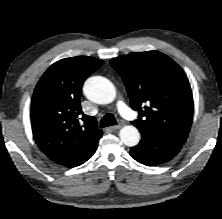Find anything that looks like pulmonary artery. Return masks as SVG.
<instances>
[{
    "instance_id": "pulmonary-artery-1",
    "label": "pulmonary artery",
    "mask_w": 222,
    "mask_h": 219,
    "mask_svg": "<svg viewBox=\"0 0 222 219\" xmlns=\"http://www.w3.org/2000/svg\"><path fill=\"white\" fill-rule=\"evenodd\" d=\"M118 109L126 119L128 120L136 119L135 113L126 104L120 102L118 104Z\"/></svg>"
}]
</instances>
